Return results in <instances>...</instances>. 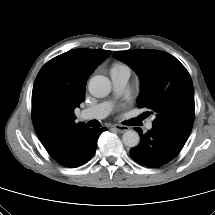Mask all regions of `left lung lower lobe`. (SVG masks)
Instances as JSON below:
<instances>
[{"label":"left lung lower lobe","mask_w":215,"mask_h":215,"mask_svg":"<svg viewBox=\"0 0 215 215\" xmlns=\"http://www.w3.org/2000/svg\"><path fill=\"white\" fill-rule=\"evenodd\" d=\"M135 130L140 135V143L130 150V155L146 167L156 168L168 163L179 154L185 144L157 127L145 134L138 127Z\"/></svg>","instance_id":"obj_1"}]
</instances>
